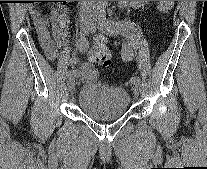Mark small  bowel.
Returning a JSON list of instances; mask_svg holds the SVG:
<instances>
[{
    "label": "small bowel",
    "instance_id": "obj_1",
    "mask_svg": "<svg viewBox=\"0 0 207 169\" xmlns=\"http://www.w3.org/2000/svg\"><path fill=\"white\" fill-rule=\"evenodd\" d=\"M72 2V1H67ZM132 6H143L149 1H126ZM30 14L34 20L39 43L50 60H55L62 55L63 49H68L67 27L69 16L63 4L53 7L50 17L44 16L38 9L32 8ZM69 64H76L77 58L72 55H65ZM76 77L82 80H91L96 76V70L90 63L82 64L78 69L73 70Z\"/></svg>",
    "mask_w": 207,
    "mask_h": 169
}]
</instances>
